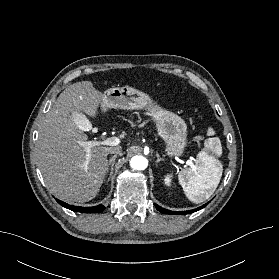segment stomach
Segmentation results:
<instances>
[{
  "label": "stomach",
  "mask_w": 279,
  "mask_h": 279,
  "mask_svg": "<svg viewBox=\"0 0 279 279\" xmlns=\"http://www.w3.org/2000/svg\"><path fill=\"white\" fill-rule=\"evenodd\" d=\"M101 108L145 109L156 124L158 135L164 140L169 156H181L186 146L187 125L177 114L160 107L151 97L130 86L112 87L102 94Z\"/></svg>",
  "instance_id": "obj_1"
}]
</instances>
